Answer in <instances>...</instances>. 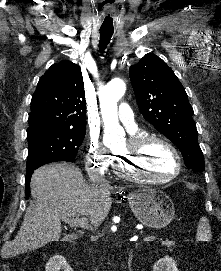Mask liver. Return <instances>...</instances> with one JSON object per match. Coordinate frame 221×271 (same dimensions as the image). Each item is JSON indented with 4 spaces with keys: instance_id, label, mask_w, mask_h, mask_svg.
I'll list each match as a JSON object with an SVG mask.
<instances>
[{
    "instance_id": "1",
    "label": "liver",
    "mask_w": 221,
    "mask_h": 271,
    "mask_svg": "<svg viewBox=\"0 0 221 271\" xmlns=\"http://www.w3.org/2000/svg\"><path fill=\"white\" fill-rule=\"evenodd\" d=\"M30 185L35 203L26 207L16 237L4 243L1 249L2 257H14L43 247L49 241L76 239L78 233H68L61 239L62 217L87 215V227L100 225L112 203L111 197H102L95 185H88L80 167L72 163H49L38 167L32 173ZM109 189L111 187H107V191Z\"/></svg>"
}]
</instances>
